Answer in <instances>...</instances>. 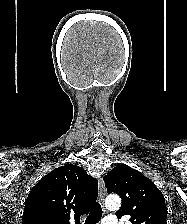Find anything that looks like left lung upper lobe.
<instances>
[{
  "mask_svg": "<svg viewBox=\"0 0 187 224\" xmlns=\"http://www.w3.org/2000/svg\"><path fill=\"white\" fill-rule=\"evenodd\" d=\"M107 193H116L122 206L118 218L130 215L132 224H167V207L161 191L141 172L118 165L104 177Z\"/></svg>",
  "mask_w": 187,
  "mask_h": 224,
  "instance_id": "left-lung-upper-lobe-1",
  "label": "left lung upper lobe"
}]
</instances>
